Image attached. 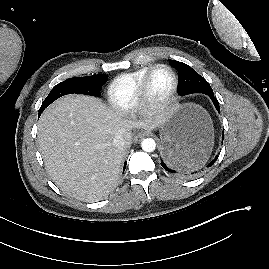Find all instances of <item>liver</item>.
Returning <instances> with one entry per match:
<instances>
[{
	"mask_svg": "<svg viewBox=\"0 0 269 269\" xmlns=\"http://www.w3.org/2000/svg\"><path fill=\"white\" fill-rule=\"evenodd\" d=\"M165 117L134 121L95 97H61L38 121V144L46 170L68 195L82 201L99 200L117 186L131 130L160 128ZM117 135L125 139L122 148L112 145Z\"/></svg>",
	"mask_w": 269,
	"mask_h": 269,
	"instance_id": "6515ba94",
	"label": "liver"
}]
</instances>
